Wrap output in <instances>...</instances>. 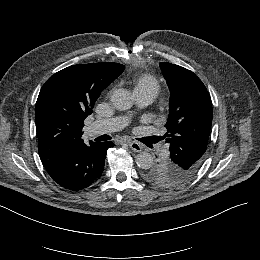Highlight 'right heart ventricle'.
I'll list each match as a JSON object with an SVG mask.
<instances>
[{
    "label": "right heart ventricle",
    "instance_id": "obj_1",
    "mask_svg": "<svg viewBox=\"0 0 260 260\" xmlns=\"http://www.w3.org/2000/svg\"><path fill=\"white\" fill-rule=\"evenodd\" d=\"M130 85L134 95L145 94L156 97L161 90L160 81L145 71H135L131 75Z\"/></svg>",
    "mask_w": 260,
    "mask_h": 260
}]
</instances>
